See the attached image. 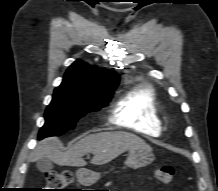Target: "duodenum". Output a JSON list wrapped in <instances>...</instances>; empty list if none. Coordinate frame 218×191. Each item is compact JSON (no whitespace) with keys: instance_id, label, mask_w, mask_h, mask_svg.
<instances>
[{"instance_id":"1","label":"duodenum","mask_w":218,"mask_h":191,"mask_svg":"<svg viewBox=\"0 0 218 191\" xmlns=\"http://www.w3.org/2000/svg\"><path fill=\"white\" fill-rule=\"evenodd\" d=\"M79 178L80 180H84V170L83 169L79 171Z\"/></svg>"}]
</instances>
